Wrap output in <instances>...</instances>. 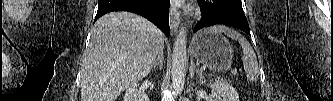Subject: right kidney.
Instances as JSON below:
<instances>
[{
  "mask_svg": "<svg viewBox=\"0 0 333 101\" xmlns=\"http://www.w3.org/2000/svg\"><path fill=\"white\" fill-rule=\"evenodd\" d=\"M137 82L131 84L125 92L124 101H149L148 96L144 93V91H140L137 89Z\"/></svg>",
  "mask_w": 333,
  "mask_h": 101,
  "instance_id": "right-kidney-1",
  "label": "right kidney"
}]
</instances>
